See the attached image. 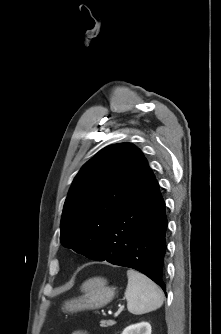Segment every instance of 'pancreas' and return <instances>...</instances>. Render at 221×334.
<instances>
[{
	"instance_id": "cf45deb5",
	"label": "pancreas",
	"mask_w": 221,
	"mask_h": 334,
	"mask_svg": "<svg viewBox=\"0 0 221 334\" xmlns=\"http://www.w3.org/2000/svg\"><path fill=\"white\" fill-rule=\"evenodd\" d=\"M114 324H115V321H113V320H101L100 321V326L101 327L113 326Z\"/></svg>"
}]
</instances>
